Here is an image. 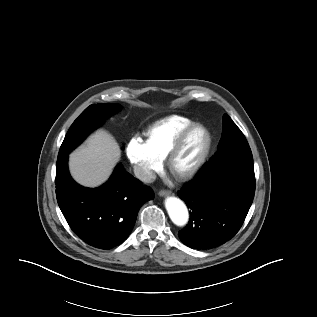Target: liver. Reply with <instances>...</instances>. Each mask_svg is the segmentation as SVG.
I'll return each instance as SVG.
<instances>
[{
	"label": "liver",
	"instance_id": "1",
	"mask_svg": "<svg viewBox=\"0 0 317 317\" xmlns=\"http://www.w3.org/2000/svg\"><path fill=\"white\" fill-rule=\"evenodd\" d=\"M120 156L119 145L113 136L103 130L97 131L85 145L70 154V173L83 186H99L108 179Z\"/></svg>",
	"mask_w": 317,
	"mask_h": 317
}]
</instances>
